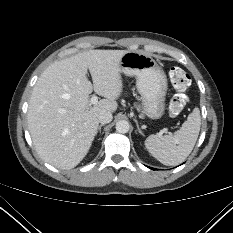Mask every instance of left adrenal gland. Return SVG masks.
Masks as SVG:
<instances>
[{"label":"left adrenal gland","mask_w":233,"mask_h":233,"mask_svg":"<svg viewBox=\"0 0 233 233\" xmlns=\"http://www.w3.org/2000/svg\"><path fill=\"white\" fill-rule=\"evenodd\" d=\"M136 126H137V131L141 134L144 135L142 130L139 128L138 122H136Z\"/></svg>","instance_id":"1"}]
</instances>
